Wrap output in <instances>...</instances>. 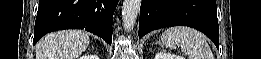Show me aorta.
Masks as SVG:
<instances>
[{"label": "aorta", "instance_id": "obj_1", "mask_svg": "<svg viewBox=\"0 0 261 59\" xmlns=\"http://www.w3.org/2000/svg\"><path fill=\"white\" fill-rule=\"evenodd\" d=\"M141 0H124L122 6V24L125 31H131L140 12Z\"/></svg>", "mask_w": 261, "mask_h": 59}]
</instances>
